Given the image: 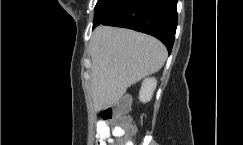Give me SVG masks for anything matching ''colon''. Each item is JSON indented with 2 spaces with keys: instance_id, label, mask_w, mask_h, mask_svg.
Returning a JSON list of instances; mask_svg holds the SVG:
<instances>
[{
  "instance_id": "obj_1",
  "label": "colon",
  "mask_w": 243,
  "mask_h": 145,
  "mask_svg": "<svg viewBox=\"0 0 243 145\" xmlns=\"http://www.w3.org/2000/svg\"><path fill=\"white\" fill-rule=\"evenodd\" d=\"M130 101L127 97L119 100L115 105L108 107L101 111L102 120L113 121L117 127L123 131V136L125 139L120 143H110L104 141L105 145H128L131 140L129 137L133 136L135 133V126L129 115Z\"/></svg>"
}]
</instances>
